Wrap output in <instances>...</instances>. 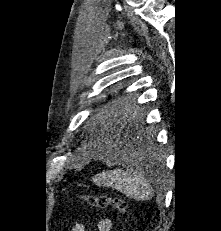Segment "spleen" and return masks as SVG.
Returning <instances> with one entry per match:
<instances>
[{
	"instance_id": "obj_1",
	"label": "spleen",
	"mask_w": 221,
	"mask_h": 231,
	"mask_svg": "<svg viewBox=\"0 0 221 231\" xmlns=\"http://www.w3.org/2000/svg\"><path fill=\"white\" fill-rule=\"evenodd\" d=\"M95 182L98 185L115 188L137 201L148 200L154 196L149 181L138 171L115 169L99 174Z\"/></svg>"
}]
</instances>
